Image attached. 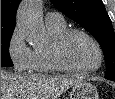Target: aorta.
Wrapping results in <instances>:
<instances>
[{"instance_id": "obj_1", "label": "aorta", "mask_w": 115, "mask_h": 99, "mask_svg": "<svg viewBox=\"0 0 115 99\" xmlns=\"http://www.w3.org/2000/svg\"><path fill=\"white\" fill-rule=\"evenodd\" d=\"M17 27L27 41L38 45L45 41L46 30L41 18V0L24 1L17 14Z\"/></svg>"}]
</instances>
